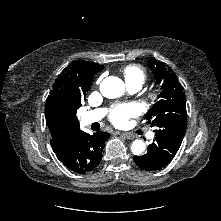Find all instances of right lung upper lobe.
<instances>
[{
	"label": "right lung upper lobe",
	"mask_w": 221,
	"mask_h": 221,
	"mask_svg": "<svg viewBox=\"0 0 221 221\" xmlns=\"http://www.w3.org/2000/svg\"><path fill=\"white\" fill-rule=\"evenodd\" d=\"M102 69L97 63L76 60L55 80L45 104L46 126L54 152L70 147L82 131L76 112L90 89L94 74Z\"/></svg>",
	"instance_id": "cb5924a9"
}]
</instances>
